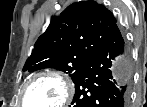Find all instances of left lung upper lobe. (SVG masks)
Wrapping results in <instances>:
<instances>
[{
	"label": "left lung upper lobe",
	"mask_w": 147,
	"mask_h": 107,
	"mask_svg": "<svg viewBox=\"0 0 147 107\" xmlns=\"http://www.w3.org/2000/svg\"><path fill=\"white\" fill-rule=\"evenodd\" d=\"M115 25L113 13L105 6L93 0L73 3L51 19L23 71L55 68L69 74L74 82Z\"/></svg>",
	"instance_id": "obj_1"
}]
</instances>
